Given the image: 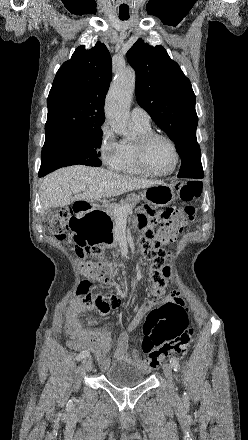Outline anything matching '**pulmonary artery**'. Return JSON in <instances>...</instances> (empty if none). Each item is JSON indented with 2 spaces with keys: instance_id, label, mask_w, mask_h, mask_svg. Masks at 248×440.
<instances>
[{
  "instance_id": "pulmonary-artery-1",
  "label": "pulmonary artery",
  "mask_w": 248,
  "mask_h": 440,
  "mask_svg": "<svg viewBox=\"0 0 248 440\" xmlns=\"http://www.w3.org/2000/svg\"><path fill=\"white\" fill-rule=\"evenodd\" d=\"M131 120L140 126H150V115L141 107L135 106L131 110Z\"/></svg>"
}]
</instances>
